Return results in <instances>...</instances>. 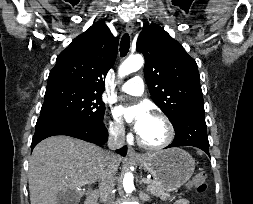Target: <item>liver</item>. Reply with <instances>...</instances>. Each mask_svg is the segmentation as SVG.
<instances>
[{
    "label": "liver",
    "mask_w": 253,
    "mask_h": 204,
    "mask_svg": "<svg viewBox=\"0 0 253 204\" xmlns=\"http://www.w3.org/2000/svg\"><path fill=\"white\" fill-rule=\"evenodd\" d=\"M107 152L100 147L65 135L49 137L33 150L29 165L31 204H56L57 196L68 190L77 192L78 202L85 194L81 189L100 181ZM121 157L116 155V168Z\"/></svg>",
    "instance_id": "obj_1"
}]
</instances>
